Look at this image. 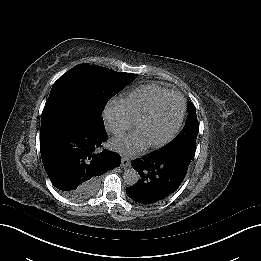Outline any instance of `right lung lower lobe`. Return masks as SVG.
<instances>
[{"label": "right lung lower lobe", "instance_id": "obj_1", "mask_svg": "<svg viewBox=\"0 0 261 261\" xmlns=\"http://www.w3.org/2000/svg\"><path fill=\"white\" fill-rule=\"evenodd\" d=\"M106 137L100 115L64 100H47L41 117L40 151L52 184L64 194L75 195L119 166L118 154L99 149Z\"/></svg>", "mask_w": 261, "mask_h": 261}]
</instances>
